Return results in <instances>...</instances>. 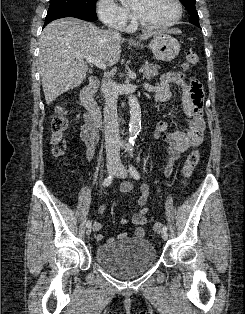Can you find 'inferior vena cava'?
I'll return each instance as SVG.
<instances>
[{
  "mask_svg": "<svg viewBox=\"0 0 245 314\" xmlns=\"http://www.w3.org/2000/svg\"><path fill=\"white\" fill-rule=\"evenodd\" d=\"M117 35L119 32L115 31ZM101 91L105 98L104 106V132L107 160L120 162V138H119V122L117 117V93L115 83H113L109 74H105L102 79Z\"/></svg>",
  "mask_w": 245,
  "mask_h": 314,
  "instance_id": "1",
  "label": "inferior vena cava"
}]
</instances>
